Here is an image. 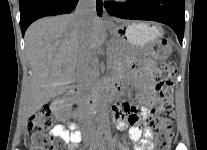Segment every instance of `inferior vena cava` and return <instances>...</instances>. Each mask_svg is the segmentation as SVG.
Returning a JSON list of instances; mask_svg holds the SVG:
<instances>
[{
	"mask_svg": "<svg viewBox=\"0 0 207 150\" xmlns=\"http://www.w3.org/2000/svg\"><path fill=\"white\" fill-rule=\"evenodd\" d=\"M74 14L80 26L88 30L92 21L97 17L96 0H79ZM92 60V50L87 45L83 46L77 64L78 78L83 87L88 86Z\"/></svg>",
	"mask_w": 207,
	"mask_h": 150,
	"instance_id": "inferior-vena-cava-1",
	"label": "inferior vena cava"
}]
</instances>
